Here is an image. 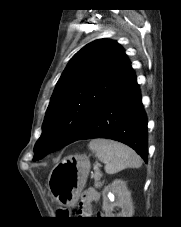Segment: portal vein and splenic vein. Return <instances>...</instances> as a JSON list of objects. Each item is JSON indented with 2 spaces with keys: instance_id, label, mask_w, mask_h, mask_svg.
Returning a JSON list of instances; mask_svg holds the SVG:
<instances>
[{
  "instance_id": "18ae733b",
  "label": "portal vein and splenic vein",
  "mask_w": 181,
  "mask_h": 227,
  "mask_svg": "<svg viewBox=\"0 0 181 227\" xmlns=\"http://www.w3.org/2000/svg\"><path fill=\"white\" fill-rule=\"evenodd\" d=\"M98 174V172H95V175H97Z\"/></svg>"
}]
</instances>
